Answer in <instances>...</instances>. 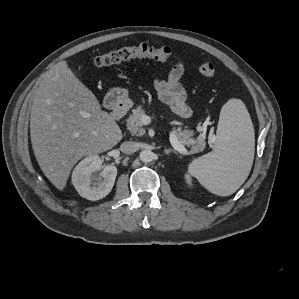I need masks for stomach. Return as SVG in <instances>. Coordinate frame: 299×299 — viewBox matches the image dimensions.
<instances>
[{"label": "stomach", "mask_w": 299, "mask_h": 299, "mask_svg": "<svg viewBox=\"0 0 299 299\" xmlns=\"http://www.w3.org/2000/svg\"><path fill=\"white\" fill-rule=\"evenodd\" d=\"M108 97L113 100L114 106L126 104L129 100L126 89L115 88L108 93Z\"/></svg>", "instance_id": "stomach-1"}]
</instances>
